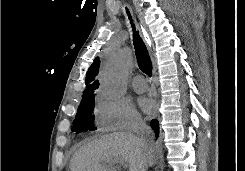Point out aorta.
Instances as JSON below:
<instances>
[{"mask_svg":"<svg viewBox=\"0 0 245 171\" xmlns=\"http://www.w3.org/2000/svg\"><path fill=\"white\" fill-rule=\"evenodd\" d=\"M133 51L122 48L107 64L103 74V85L113 95H124L127 90V76L133 63Z\"/></svg>","mask_w":245,"mask_h":171,"instance_id":"obj_1","label":"aorta"}]
</instances>
